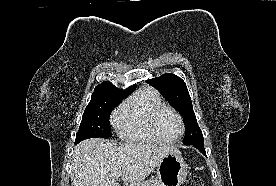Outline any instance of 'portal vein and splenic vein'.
<instances>
[{
    "label": "portal vein and splenic vein",
    "mask_w": 276,
    "mask_h": 186,
    "mask_svg": "<svg viewBox=\"0 0 276 186\" xmlns=\"http://www.w3.org/2000/svg\"><path fill=\"white\" fill-rule=\"evenodd\" d=\"M122 176V172H117L113 174L114 179H119Z\"/></svg>",
    "instance_id": "18ae733b"
}]
</instances>
